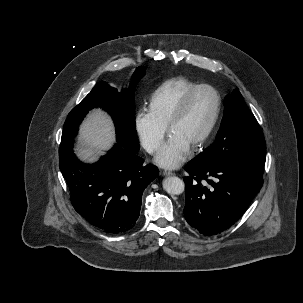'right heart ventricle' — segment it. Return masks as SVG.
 I'll return each instance as SVG.
<instances>
[{"instance_id":"obj_1","label":"right heart ventricle","mask_w":303,"mask_h":303,"mask_svg":"<svg viewBox=\"0 0 303 303\" xmlns=\"http://www.w3.org/2000/svg\"><path fill=\"white\" fill-rule=\"evenodd\" d=\"M197 85L199 84L181 76L164 81L150 97V111L161 123L168 125L185 94Z\"/></svg>"}]
</instances>
